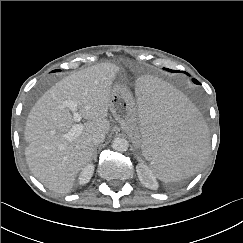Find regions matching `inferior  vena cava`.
<instances>
[{
  "mask_svg": "<svg viewBox=\"0 0 243 243\" xmlns=\"http://www.w3.org/2000/svg\"><path fill=\"white\" fill-rule=\"evenodd\" d=\"M104 139H105V135L102 133H98L92 137V142L94 145H98L99 143L103 142Z\"/></svg>",
  "mask_w": 243,
  "mask_h": 243,
  "instance_id": "obj_1",
  "label": "inferior vena cava"
}]
</instances>
